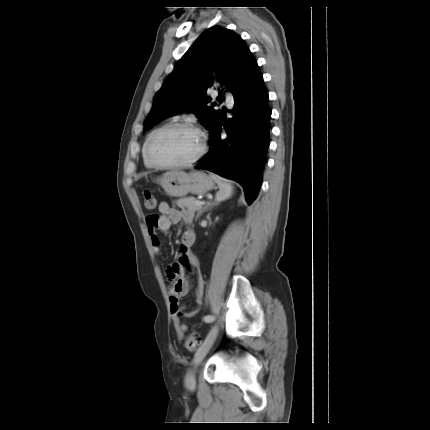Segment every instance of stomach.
Segmentation results:
<instances>
[{"instance_id": "1", "label": "stomach", "mask_w": 430, "mask_h": 430, "mask_svg": "<svg viewBox=\"0 0 430 430\" xmlns=\"http://www.w3.org/2000/svg\"><path fill=\"white\" fill-rule=\"evenodd\" d=\"M160 184L172 197H183L188 193L204 194L214 188L213 179L203 171L186 173L181 170H171L161 176Z\"/></svg>"}]
</instances>
